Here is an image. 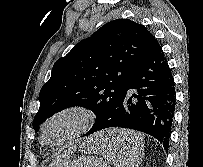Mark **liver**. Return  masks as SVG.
<instances>
[{
  "label": "liver",
  "instance_id": "6515ba94",
  "mask_svg": "<svg viewBox=\"0 0 203 167\" xmlns=\"http://www.w3.org/2000/svg\"><path fill=\"white\" fill-rule=\"evenodd\" d=\"M142 137L141 134L123 129H116L108 131V136L106 138H101V140H118L126 145L128 148L135 146L138 138ZM70 161V156L63 155L60 158L55 159L49 167H68Z\"/></svg>",
  "mask_w": 203,
  "mask_h": 167
}]
</instances>
